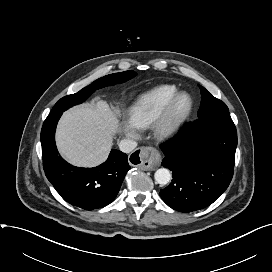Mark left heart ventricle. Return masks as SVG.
<instances>
[{"instance_id": "b2bd125f", "label": "left heart ventricle", "mask_w": 272, "mask_h": 272, "mask_svg": "<svg viewBox=\"0 0 272 272\" xmlns=\"http://www.w3.org/2000/svg\"><path fill=\"white\" fill-rule=\"evenodd\" d=\"M187 104V99L185 97H183L178 104V108L179 110L183 109Z\"/></svg>"}]
</instances>
